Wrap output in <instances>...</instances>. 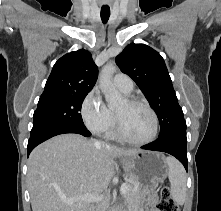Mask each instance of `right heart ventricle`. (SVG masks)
Instances as JSON below:
<instances>
[{
    "label": "right heart ventricle",
    "mask_w": 221,
    "mask_h": 211,
    "mask_svg": "<svg viewBox=\"0 0 221 211\" xmlns=\"http://www.w3.org/2000/svg\"><path fill=\"white\" fill-rule=\"evenodd\" d=\"M109 135L112 136V137L115 136V134L112 131L109 133Z\"/></svg>",
    "instance_id": "e07e8e85"
}]
</instances>
